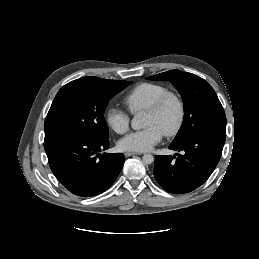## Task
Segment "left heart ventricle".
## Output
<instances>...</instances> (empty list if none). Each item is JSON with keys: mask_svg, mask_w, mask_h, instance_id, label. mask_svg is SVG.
<instances>
[{"mask_svg": "<svg viewBox=\"0 0 259 259\" xmlns=\"http://www.w3.org/2000/svg\"><path fill=\"white\" fill-rule=\"evenodd\" d=\"M177 117V109L173 102H169L159 114L146 113L144 126L156 125L163 132L170 128Z\"/></svg>", "mask_w": 259, "mask_h": 259, "instance_id": "1", "label": "left heart ventricle"}]
</instances>
